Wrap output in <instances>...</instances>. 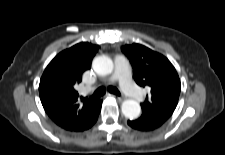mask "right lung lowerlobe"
<instances>
[{
	"label": "right lung lower lobe",
	"instance_id": "obj_1",
	"mask_svg": "<svg viewBox=\"0 0 225 155\" xmlns=\"http://www.w3.org/2000/svg\"><path fill=\"white\" fill-rule=\"evenodd\" d=\"M101 105H102V101L100 100V102L98 104V107L96 108L95 113L93 115V118H92V120H91L87 129H89L97 121L98 115H99L100 110H101Z\"/></svg>",
	"mask_w": 225,
	"mask_h": 155
}]
</instances>
